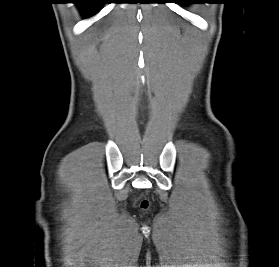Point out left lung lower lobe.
Here are the masks:
<instances>
[{
    "mask_svg": "<svg viewBox=\"0 0 279 267\" xmlns=\"http://www.w3.org/2000/svg\"><path fill=\"white\" fill-rule=\"evenodd\" d=\"M180 3L187 4V3H194V1H191V0H182V1H180Z\"/></svg>",
    "mask_w": 279,
    "mask_h": 267,
    "instance_id": "0a47b994",
    "label": "left lung lower lobe"
}]
</instances>
